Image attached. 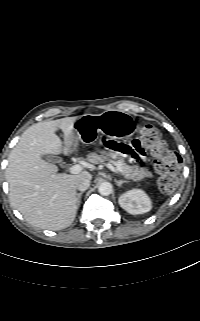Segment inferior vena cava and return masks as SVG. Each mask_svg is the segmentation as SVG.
Here are the masks:
<instances>
[{"instance_id":"inferior-vena-cava-1","label":"inferior vena cava","mask_w":200,"mask_h":321,"mask_svg":"<svg viewBox=\"0 0 200 321\" xmlns=\"http://www.w3.org/2000/svg\"><path fill=\"white\" fill-rule=\"evenodd\" d=\"M75 186L78 190L85 191L90 186V179L87 177H80L79 179H77Z\"/></svg>"}]
</instances>
